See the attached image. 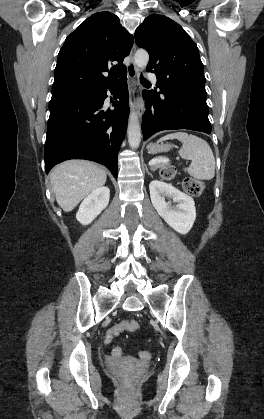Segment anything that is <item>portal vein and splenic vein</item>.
I'll return each mask as SVG.
<instances>
[{
    "mask_svg": "<svg viewBox=\"0 0 264 419\" xmlns=\"http://www.w3.org/2000/svg\"><path fill=\"white\" fill-rule=\"evenodd\" d=\"M155 162H158V163H168L169 162V159H167V158H160V159L156 160Z\"/></svg>",
    "mask_w": 264,
    "mask_h": 419,
    "instance_id": "portal-vein-and-splenic-vein-1",
    "label": "portal vein and splenic vein"
}]
</instances>
